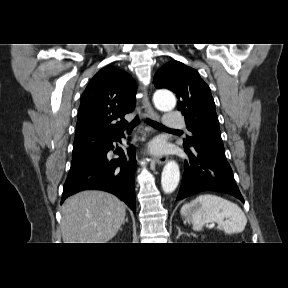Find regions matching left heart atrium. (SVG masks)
Wrapping results in <instances>:
<instances>
[{"mask_svg":"<svg viewBox=\"0 0 288 288\" xmlns=\"http://www.w3.org/2000/svg\"><path fill=\"white\" fill-rule=\"evenodd\" d=\"M153 150H154V151H159V150H160V146L157 145V144L154 145V146H153Z\"/></svg>","mask_w":288,"mask_h":288,"instance_id":"obj_1","label":"left heart atrium"}]
</instances>
